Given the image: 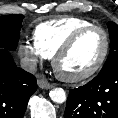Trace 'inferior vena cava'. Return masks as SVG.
I'll list each match as a JSON object with an SVG mask.
<instances>
[{
    "instance_id": "602c4592",
    "label": "inferior vena cava",
    "mask_w": 118,
    "mask_h": 118,
    "mask_svg": "<svg viewBox=\"0 0 118 118\" xmlns=\"http://www.w3.org/2000/svg\"><path fill=\"white\" fill-rule=\"evenodd\" d=\"M20 64L22 69L31 73H34L37 69V63L32 58H28V57L22 58Z\"/></svg>"
}]
</instances>
